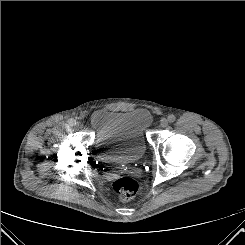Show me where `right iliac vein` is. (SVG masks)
<instances>
[{
	"instance_id": "obj_1",
	"label": "right iliac vein",
	"mask_w": 245,
	"mask_h": 245,
	"mask_svg": "<svg viewBox=\"0 0 245 245\" xmlns=\"http://www.w3.org/2000/svg\"><path fill=\"white\" fill-rule=\"evenodd\" d=\"M75 125H76L78 128H82V127H83V124H82L81 122H77Z\"/></svg>"
}]
</instances>
